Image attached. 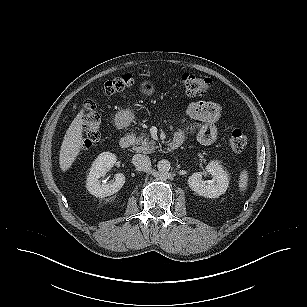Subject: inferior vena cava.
<instances>
[{
	"label": "inferior vena cava",
	"instance_id": "inferior-vena-cava-1",
	"mask_svg": "<svg viewBox=\"0 0 307 307\" xmlns=\"http://www.w3.org/2000/svg\"><path fill=\"white\" fill-rule=\"evenodd\" d=\"M133 164L141 171L147 172L151 168V160L143 154H136L132 158Z\"/></svg>",
	"mask_w": 307,
	"mask_h": 307
}]
</instances>
